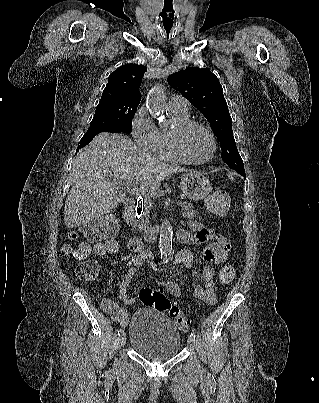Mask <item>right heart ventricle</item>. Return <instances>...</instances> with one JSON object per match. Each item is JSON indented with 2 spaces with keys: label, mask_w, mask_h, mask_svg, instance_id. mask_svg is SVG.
<instances>
[{
  "label": "right heart ventricle",
  "mask_w": 319,
  "mask_h": 403,
  "mask_svg": "<svg viewBox=\"0 0 319 403\" xmlns=\"http://www.w3.org/2000/svg\"><path fill=\"white\" fill-rule=\"evenodd\" d=\"M174 126L178 123L189 120L188 112H182L175 109H169ZM172 129H159L158 130V145L156 155L169 162H182L175 154L171 141Z\"/></svg>",
  "instance_id": "obj_1"
}]
</instances>
